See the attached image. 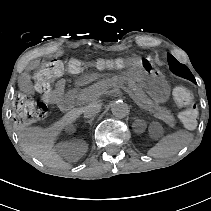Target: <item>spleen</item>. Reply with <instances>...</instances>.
Returning <instances> with one entry per match:
<instances>
[{
  "label": "spleen",
  "mask_w": 211,
  "mask_h": 211,
  "mask_svg": "<svg viewBox=\"0 0 211 211\" xmlns=\"http://www.w3.org/2000/svg\"><path fill=\"white\" fill-rule=\"evenodd\" d=\"M192 141V133L180 130L163 137L147 154L154 158H167L179 152Z\"/></svg>",
  "instance_id": "obj_1"
}]
</instances>
